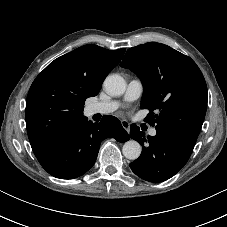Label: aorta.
Here are the masks:
<instances>
[{"label":"aorta","mask_w":227,"mask_h":227,"mask_svg":"<svg viewBox=\"0 0 227 227\" xmlns=\"http://www.w3.org/2000/svg\"><path fill=\"white\" fill-rule=\"evenodd\" d=\"M104 87L107 93L113 96L122 95L126 90L124 78L118 74H112L106 77ZM141 145L135 140H129L124 143L122 153L129 160H136L141 154Z\"/></svg>","instance_id":"762f6f07"}]
</instances>
